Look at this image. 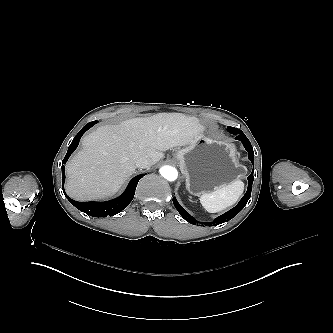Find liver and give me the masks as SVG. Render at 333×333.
Segmentation results:
<instances>
[{
  "instance_id": "6515ba94",
  "label": "liver",
  "mask_w": 333,
  "mask_h": 333,
  "mask_svg": "<svg viewBox=\"0 0 333 333\" xmlns=\"http://www.w3.org/2000/svg\"><path fill=\"white\" fill-rule=\"evenodd\" d=\"M205 133L195 117L180 113L100 127L83 139V150L67 164V192L78 200L114 194L135 172L138 158L147 157L152 166L165 151L196 143Z\"/></svg>"
}]
</instances>
